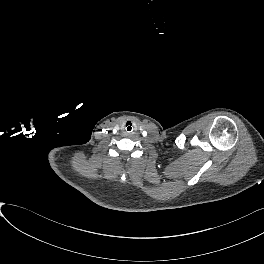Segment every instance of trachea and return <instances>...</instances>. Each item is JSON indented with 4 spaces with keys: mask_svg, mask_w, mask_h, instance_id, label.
<instances>
[{
    "mask_svg": "<svg viewBox=\"0 0 264 264\" xmlns=\"http://www.w3.org/2000/svg\"><path fill=\"white\" fill-rule=\"evenodd\" d=\"M123 131L128 134L132 133L134 131V124L130 121H127L123 125Z\"/></svg>",
    "mask_w": 264,
    "mask_h": 264,
    "instance_id": "3493384b",
    "label": "trachea"
}]
</instances>
